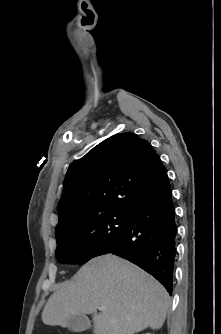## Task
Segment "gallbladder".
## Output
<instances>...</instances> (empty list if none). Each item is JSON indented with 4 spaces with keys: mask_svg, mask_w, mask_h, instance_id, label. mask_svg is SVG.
I'll return each instance as SVG.
<instances>
[{
    "mask_svg": "<svg viewBox=\"0 0 221 334\" xmlns=\"http://www.w3.org/2000/svg\"><path fill=\"white\" fill-rule=\"evenodd\" d=\"M90 321L85 315H75L68 320L67 328L72 332H83L90 329Z\"/></svg>",
    "mask_w": 221,
    "mask_h": 334,
    "instance_id": "obj_1",
    "label": "gallbladder"
}]
</instances>
